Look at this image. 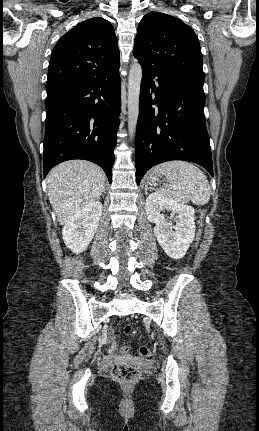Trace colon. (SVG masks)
Returning a JSON list of instances; mask_svg holds the SVG:
<instances>
[{"instance_id": "obj_1", "label": "colon", "mask_w": 259, "mask_h": 431, "mask_svg": "<svg viewBox=\"0 0 259 431\" xmlns=\"http://www.w3.org/2000/svg\"><path fill=\"white\" fill-rule=\"evenodd\" d=\"M199 214H200V221H199V227L197 232V239H196V245H195L196 247L198 246L202 237L205 210L201 209L199 211ZM131 330H132V327L129 324H126L123 326V332L125 334H129ZM118 348L119 347L117 343L114 342L110 350L111 352H114ZM119 350L122 353H127L129 348L127 346H122L119 348ZM138 352L144 358H149L152 355V351L148 346L139 347ZM111 374L117 381H120L123 383L135 382L140 376V372L137 368L126 363H115L111 369Z\"/></svg>"}]
</instances>
